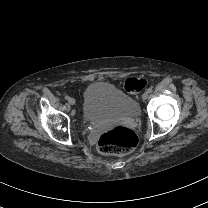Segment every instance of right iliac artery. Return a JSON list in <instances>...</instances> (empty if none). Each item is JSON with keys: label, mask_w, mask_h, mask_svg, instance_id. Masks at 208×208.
I'll use <instances>...</instances> for the list:
<instances>
[{"label": "right iliac artery", "mask_w": 208, "mask_h": 208, "mask_svg": "<svg viewBox=\"0 0 208 208\" xmlns=\"http://www.w3.org/2000/svg\"><path fill=\"white\" fill-rule=\"evenodd\" d=\"M65 99H66V100H69L70 97H69L68 95H65Z\"/></svg>", "instance_id": "obj_1"}]
</instances>
